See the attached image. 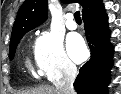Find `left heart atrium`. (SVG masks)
<instances>
[{"mask_svg": "<svg viewBox=\"0 0 121 94\" xmlns=\"http://www.w3.org/2000/svg\"><path fill=\"white\" fill-rule=\"evenodd\" d=\"M68 52L73 60L80 62L87 55L85 44L78 34H71L67 40Z\"/></svg>", "mask_w": 121, "mask_h": 94, "instance_id": "left-heart-atrium-1", "label": "left heart atrium"}]
</instances>
